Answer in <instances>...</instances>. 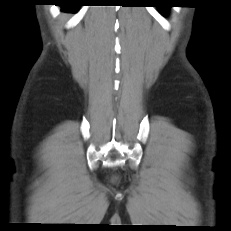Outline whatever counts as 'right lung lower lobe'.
Returning <instances> with one entry per match:
<instances>
[{
    "mask_svg": "<svg viewBox=\"0 0 231 231\" xmlns=\"http://www.w3.org/2000/svg\"><path fill=\"white\" fill-rule=\"evenodd\" d=\"M57 5L61 6L64 11H76L82 5L80 0H57Z\"/></svg>",
    "mask_w": 231,
    "mask_h": 231,
    "instance_id": "1",
    "label": "right lung lower lobe"
}]
</instances>
